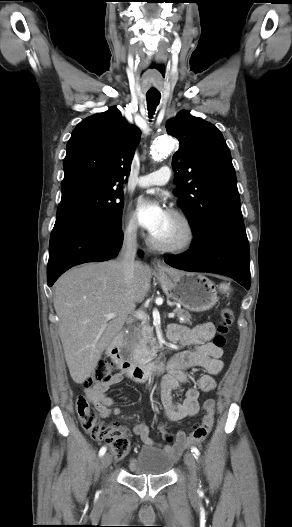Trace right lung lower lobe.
Returning <instances> with one entry per match:
<instances>
[{
	"instance_id": "98d812e1",
	"label": "right lung lower lobe",
	"mask_w": 292,
	"mask_h": 527,
	"mask_svg": "<svg viewBox=\"0 0 292 527\" xmlns=\"http://www.w3.org/2000/svg\"><path fill=\"white\" fill-rule=\"evenodd\" d=\"M122 240L121 228L94 217L77 213L57 215L50 237L48 286L51 287L61 274L73 266L116 257Z\"/></svg>"
}]
</instances>
